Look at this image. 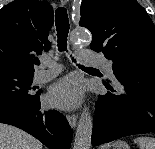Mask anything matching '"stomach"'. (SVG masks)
Listing matches in <instances>:
<instances>
[{
  "mask_svg": "<svg viewBox=\"0 0 155 149\" xmlns=\"http://www.w3.org/2000/svg\"><path fill=\"white\" fill-rule=\"evenodd\" d=\"M107 149H130V147L125 141L118 140L111 143Z\"/></svg>",
  "mask_w": 155,
  "mask_h": 149,
  "instance_id": "0dacf381",
  "label": "stomach"
}]
</instances>
